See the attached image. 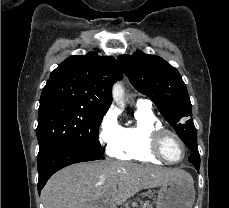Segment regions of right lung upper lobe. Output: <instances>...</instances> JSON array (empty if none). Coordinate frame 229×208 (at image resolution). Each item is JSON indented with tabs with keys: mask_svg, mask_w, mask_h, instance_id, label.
<instances>
[{
	"mask_svg": "<svg viewBox=\"0 0 229 208\" xmlns=\"http://www.w3.org/2000/svg\"><path fill=\"white\" fill-rule=\"evenodd\" d=\"M122 70L111 57L90 52L67 58L50 75L40 103L67 101L104 116L112 102V85Z\"/></svg>",
	"mask_w": 229,
	"mask_h": 208,
	"instance_id": "right-lung-upper-lobe-1",
	"label": "right lung upper lobe"
}]
</instances>
